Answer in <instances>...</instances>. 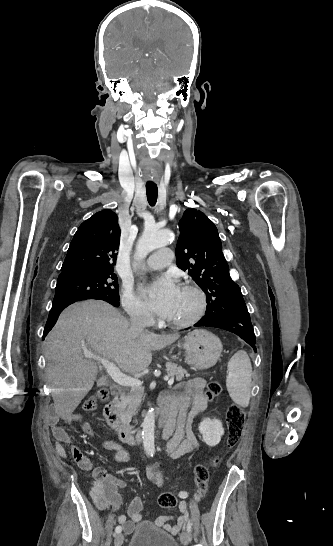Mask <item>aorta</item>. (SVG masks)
Instances as JSON below:
<instances>
[{
    "mask_svg": "<svg viewBox=\"0 0 333 546\" xmlns=\"http://www.w3.org/2000/svg\"><path fill=\"white\" fill-rule=\"evenodd\" d=\"M172 239L173 235L171 231L145 229L136 245L135 260L137 262L144 260L150 252L166 246ZM142 426L144 451L148 455H153L155 453V413L153 408L147 411Z\"/></svg>",
    "mask_w": 333,
    "mask_h": 546,
    "instance_id": "obj_1",
    "label": "aorta"
}]
</instances>
